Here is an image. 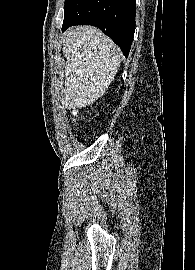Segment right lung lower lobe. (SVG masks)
Returning a JSON list of instances; mask_svg holds the SVG:
<instances>
[{"mask_svg":"<svg viewBox=\"0 0 195 270\" xmlns=\"http://www.w3.org/2000/svg\"><path fill=\"white\" fill-rule=\"evenodd\" d=\"M136 0H73L64 12L62 31L93 25L109 36L127 57L135 32Z\"/></svg>","mask_w":195,"mask_h":270,"instance_id":"right-lung-lower-lobe-1","label":"right lung lower lobe"}]
</instances>
